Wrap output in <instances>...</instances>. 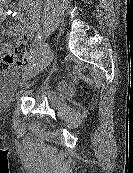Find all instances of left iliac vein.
<instances>
[{
	"instance_id": "4c4485c4",
	"label": "left iliac vein",
	"mask_w": 133,
	"mask_h": 173,
	"mask_svg": "<svg viewBox=\"0 0 133 173\" xmlns=\"http://www.w3.org/2000/svg\"><path fill=\"white\" fill-rule=\"evenodd\" d=\"M54 52L50 51L48 54L43 56L41 59L35 62V65L31 66L23 75V81H27L28 79L36 76L41 71H43L53 60Z\"/></svg>"
}]
</instances>
